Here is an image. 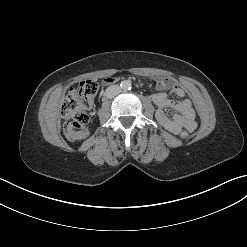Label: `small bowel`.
Masks as SVG:
<instances>
[{
	"mask_svg": "<svg viewBox=\"0 0 247 247\" xmlns=\"http://www.w3.org/2000/svg\"><path fill=\"white\" fill-rule=\"evenodd\" d=\"M116 81L113 77H106L103 84L108 86ZM155 88L159 91L152 96L153 103L157 106L156 118L158 122L169 132L179 134L182 128L193 132L196 129L195 111L192 103L186 98L185 90L170 78H158ZM175 94L179 100L168 98L167 92ZM94 103L92 98L86 102V108H91ZM166 108L176 111L173 118H169L165 112Z\"/></svg>",
	"mask_w": 247,
	"mask_h": 247,
	"instance_id": "obj_1",
	"label": "small bowel"
}]
</instances>
